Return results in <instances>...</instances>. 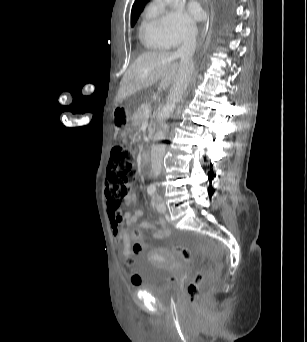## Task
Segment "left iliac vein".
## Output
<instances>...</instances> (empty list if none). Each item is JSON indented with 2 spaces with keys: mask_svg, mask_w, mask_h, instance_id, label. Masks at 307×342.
Instances as JSON below:
<instances>
[{
  "mask_svg": "<svg viewBox=\"0 0 307 342\" xmlns=\"http://www.w3.org/2000/svg\"><path fill=\"white\" fill-rule=\"evenodd\" d=\"M157 210L161 213L166 212V205L163 200L157 202Z\"/></svg>",
  "mask_w": 307,
  "mask_h": 342,
  "instance_id": "left-iliac-vein-1",
  "label": "left iliac vein"
}]
</instances>
